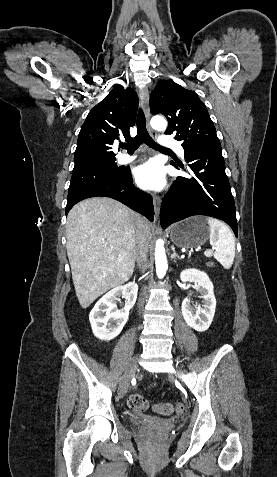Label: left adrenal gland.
Masks as SVG:
<instances>
[{"label":"left adrenal gland","instance_id":"a2214340","mask_svg":"<svg viewBox=\"0 0 277 477\" xmlns=\"http://www.w3.org/2000/svg\"><path fill=\"white\" fill-rule=\"evenodd\" d=\"M171 249H172V251H173V254L171 255V259H175V258H178V259H180L179 255H178V254H176V252H175V248H174V246H173V245L171 246Z\"/></svg>","mask_w":277,"mask_h":477}]
</instances>
